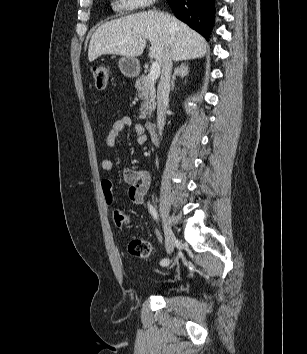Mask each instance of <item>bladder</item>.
Wrapping results in <instances>:
<instances>
[{"mask_svg": "<svg viewBox=\"0 0 307 354\" xmlns=\"http://www.w3.org/2000/svg\"><path fill=\"white\" fill-rule=\"evenodd\" d=\"M156 290H165L167 288V285L164 283H158L154 286Z\"/></svg>", "mask_w": 307, "mask_h": 354, "instance_id": "obj_1", "label": "bladder"}]
</instances>
